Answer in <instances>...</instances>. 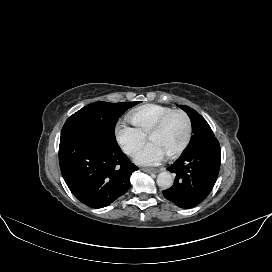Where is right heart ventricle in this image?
I'll list each match as a JSON object with an SVG mask.
<instances>
[{
	"mask_svg": "<svg viewBox=\"0 0 272 272\" xmlns=\"http://www.w3.org/2000/svg\"><path fill=\"white\" fill-rule=\"evenodd\" d=\"M173 109L159 104H146L131 110L127 116L128 120L139 131L148 134L152 126L166 113Z\"/></svg>",
	"mask_w": 272,
	"mask_h": 272,
	"instance_id": "1",
	"label": "right heart ventricle"
}]
</instances>
